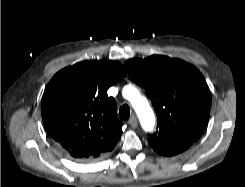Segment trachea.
Masks as SVG:
<instances>
[{
	"label": "trachea",
	"instance_id": "trachea-1",
	"mask_svg": "<svg viewBox=\"0 0 245 187\" xmlns=\"http://www.w3.org/2000/svg\"><path fill=\"white\" fill-rule=\"evenodd\" d=\"M119 117L121 120H128L130 117V107L128 105H123L119 110Z\"/></svg>",
	"mask_w": 245,
	"mask_h": 187
}]
</instances>
